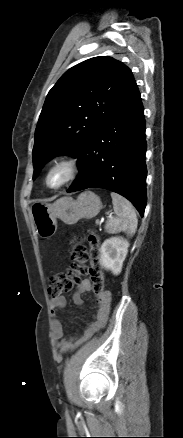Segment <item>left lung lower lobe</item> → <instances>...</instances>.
Segmentation results:
<instances>
[{"instance_id": "left-lung-lower-lobe-1", "label": "left lung lower lobe", "mask_w": 183, "mask_h": 438, "mask_svg": "<svg viewBox=\"0 0 183 438\" xmlns=\"http://www.w3.org/2000/svg\"><path fill=\"white\" fill-rule=\"evenodd\" d=\"M145 121L135 84L99 125L78 156L80 170L67 192L103 188L127 198L144 214L146 207Z\"/></svg>"}]
</instances>
